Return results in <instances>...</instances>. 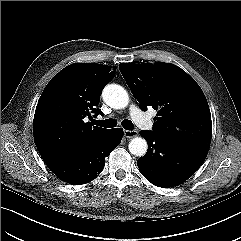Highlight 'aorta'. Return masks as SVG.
<instances>
[{"mask_svg": "<svg viewBox=\"0 0 241 241\" xmlns=\"http://www.w3.org/2000/svg\"><path fill=\"white\" fill-rule=\"evenodd\" d=\"M102 97L104 102L114 109H123L129 103L127 91L117 84H108L103 89ZM128 148L131 154L142 157L147 152V141L142 137H135L130 141Z\"/></svg>", "mask_w": 241, "mask_h": 241, "instance_id": "aorta-1", "label": "aorta"}]
</instances>
